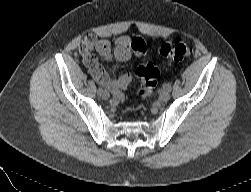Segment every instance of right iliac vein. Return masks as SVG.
<instances>
[{
    "label": "right iliac vein",
    "instance_id": "right-iliac-vein-1",
    "mask_svg": "<svg viewBox=\"0 0 251 192\" xmlns=\"http://www.w3.org/2000/svg\"><path fill=\"white\" fill-rule=\"evenodd\" d=\"M103 99L107 100L109 98V93L107 91H103L102 94L100 95Z\"/></svg>",
    "mask_w": 251,
    "mask_h": 192
}]
</instances>
